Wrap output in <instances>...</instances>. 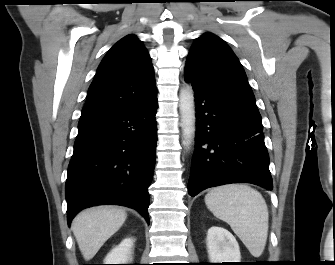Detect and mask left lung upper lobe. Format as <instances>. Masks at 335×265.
I'll list each match as a JSON object with an SVG mask.
<instances>
[{
	"label": "left lung upper lobe",
	"mask_w": 335,
	"mask_h": 265,
	"mask_svg": "<svg viewBox=\"0 0 335 265\" xmlns=\"http://www.w3.org/2000/svg\"><path fill=\"white\" fill-rule=\"evenodd\" d=\"M185 74L215 91L257 107L238 58L212 33L196 39L188 54Z\"/></svg>",
	"instance_id": "5c2ea615"
}]
</instances>
